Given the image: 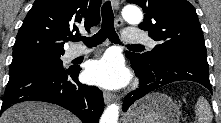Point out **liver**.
<instances>
[{"label": "liver", "instance_id": "1", "mask_svg": "<svg viewBox=\"0 0 221 123\" xmlns=\"http://www.w3.org/2000/svg\"><path fill=\"white\" fill-rule=\"evenodd\" d=\"M0 123H79L70 112L53 104L23 102L6 110Z\"/></svg>", "mask_w": 221, "mask_h": 123}]
</instances>
